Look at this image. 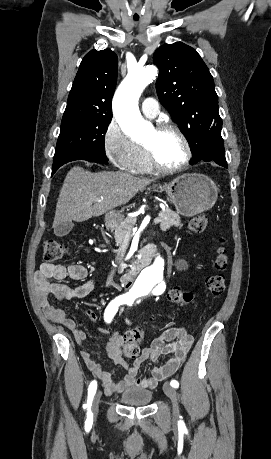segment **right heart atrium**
<instances>
[{
	"mask_svg": "<svg viewBox=\"0 0 271 459\" xmlns=\"http://www.w3.org/2000/svg\"><path fill=\"white\" fill-rule=\"evenodd\" d=\"M102 147L108 160L119 169H127L135 153V143L128 139L115 120H111L103 132Z\"/></svg>",
	"mask_w": 271,
	"mask_h": 459,
	"instance_id": "d8ad5b80",
	"label": "right heart atrium"
}]
</instances>
